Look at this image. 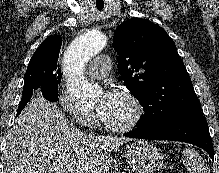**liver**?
Segmentation results:
<instances>
[{"label": "liver", "mask_w": 219, "mask_h": 173, "mask_svg": "<svg viewBox=\"0 0 219 173\" xmlns=\"http://www.w3.org/2000/svg\"><path fill=\"white\" fill-rule=\"evenodd\" d=\"M124 137L85 134L59 108L38 95L7 136L4 173H108Z\"/></svg>", "instance_id": "obj_1"}]
</instances>
